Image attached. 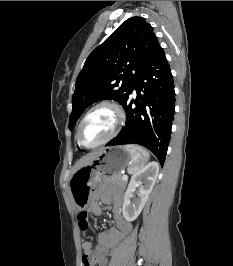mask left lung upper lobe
Segmentation results:
<instances>
[{
	"label": "left lung upper lobe",
	"mask_w": 233,
	"mask_h": 266,
	"mask_svg": "<svg viewBox=\"0 0 233 266\" xmlns=\"http://www.w3.org/2000/svg\"><path fill=\"white\" fill-rule=\"evenodd\" d=\"M158 45L151 25L136 16L127 19L96 47L76 79L69 129L95 101L113 99L124 105L147 59Z\"/></svg>",
	"instance_id": "5c2ea615"
}]
</instances>
